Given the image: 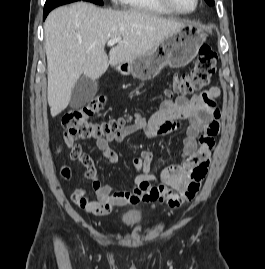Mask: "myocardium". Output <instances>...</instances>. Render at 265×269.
<instances>
[{"mask_svg": "<svg viewBox=\"0 0 265 269\" xmlns=\"http://www.w3.org/2000/svg\"><path fill=\"white\" fill-rule=\"evenodd\" d=\"M165 9H167L170 12L178 13V14H191L195 12L199 6L200 0H195V5L193 9L191 10H182L177 7H175L170 0H157Z\"/></svg>", "mask_w": 265, "mask_h": 269, "instance_id": "f54148a6", "label": "myocardium"}]
</instances>
